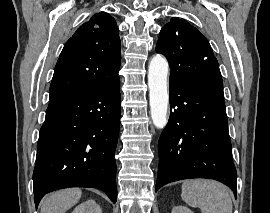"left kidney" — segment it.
Here are the masks:
<instances>
[{"label": "left kidney", "instance_id": "obj_1", "mask_svg": "<svg viewBox=\"0 0 270 213\" xmlns=\"http://www.w3.org/2000/svg\"><path fill=\"white\" fill-rule=\"evenodd\" d=\"M171 213H193L189 208L185 206H175Z\"/></svg>", "mask_w": 270, "mask_h": 213}]
</instances>
